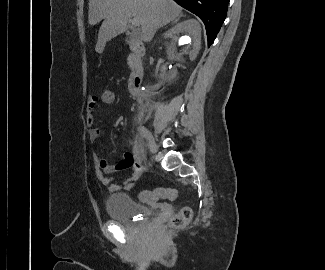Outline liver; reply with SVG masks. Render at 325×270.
<instances>
[{"label":"liver","mask_w":325,"mask_h":270,"mask_svg":"<svg viewBox=\"0 0 325 270\" xmlns=\"http://www.w3.org/2000/svg\"><path fill=\"white\" fill-rule=\"evenodd\" d=\"M182 8L173 0H89L88 20L96 25L103 20L98 33L97 50L127 30L128 17L137 18L142 40H152L157 29L181 15Z\"/></svg>","instance_id":"6515ba94"}]
</instances>
